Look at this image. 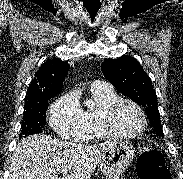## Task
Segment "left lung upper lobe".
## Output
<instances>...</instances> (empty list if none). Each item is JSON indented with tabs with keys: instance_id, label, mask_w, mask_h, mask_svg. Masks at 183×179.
<instances>
[{
	"instance_id": "1",
	"label": "left lung upper lobe",
	"mask_w": 183,
	"mask_h": 179,
	"mask_svg": "<svg viewBox=\"0 0 183 179\" xmlns=\"http://www.w3.org/2000/svg\"><path fill=\"white\" fill-rule=\"evenodd\" d=\"M101 69L105 78L121 93L145 107L154 130L163 135L156 92L151 79L139 62L131 56L124 55L118 59H105Z\"/></svg>"
}]
</instances>
